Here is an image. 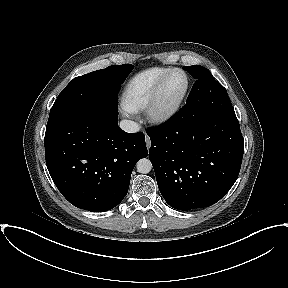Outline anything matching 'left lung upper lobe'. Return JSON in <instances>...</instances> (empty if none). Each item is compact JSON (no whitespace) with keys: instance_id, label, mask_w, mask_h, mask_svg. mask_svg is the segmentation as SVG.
I'll return each mask as SVG.
<instances>
[{"instance_id":"1","label":"left lung upper lobe","mask_w":288,"mask_h":288,"mask_svg":"<svg viewBox=\"0 0 288 288\" xmlns=\"http://www.w3.org/2000/svg\"><path fill=\"white\" fill-rule=\"evenodd\" d=\"M196 79L186 105L182 111H190L198 115L217 113L230 118H236L229 96L225 88L214 79L209 70L200 65L184 66Z\"/></svg>"}]
</instances>
